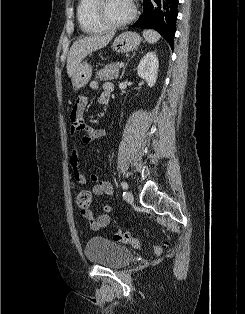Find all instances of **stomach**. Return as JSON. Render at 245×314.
I'll list each match as a JSON object with an SVG mask.
<instances>
[{"label":"stomach","mask_w":245,"mask_h":314,"mask_svg":"<svg viewBox=\"0 0 245 314\" xmlns=\"http://www.w3.org/2000/svg\"><path fill=\"white\" fill-rule=\"evenodd\" d=\"M141 42V37L136 32L126 31L115 38L113 49L118 53H127L136 49ZM92 75V67L88 63H82L72 76L74 88L80 89L89 82Z\"/></svg>","instance_id":"0dacf381"}]
</instances>
